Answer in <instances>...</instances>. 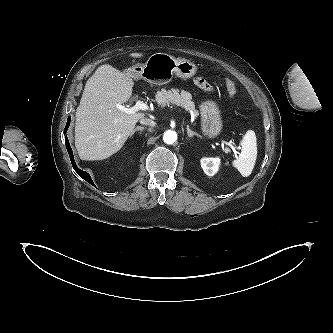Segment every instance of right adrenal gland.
<instances>
[{
    "mask_svg": "<svg viewBox=\"0 0 333 333\" xmlns=\"http://www.w3.org/2000/svg\"><path fill=\"white\" fill-rule=\"evenodd\" d=\"M144 130V127L142 126H137L130 134V137L136 132V131H143Z\"/></svg>",
    "mask_w": 333,
    "mask_h": 333,
    "instance_id": "2a0ac1e0",
    "label": "right adrenal gland"
}]
</instances>
